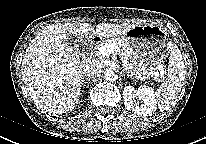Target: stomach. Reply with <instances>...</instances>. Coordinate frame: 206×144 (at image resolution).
Listing matches in <instances>:
<instances>
[{"label":"stomach","mask_w":206,"mask_h":144,"mask_svg":"<svg viewBox=\"0 0 206 144\" xmlns=\"http://www.w3.org/2000/svg\"><path fill=\"white\" fill-rule=\"evenodd\" d=\"M132 52V58L140 66L153 68L163 66L166 58L171 54L169 33L163 25L156 23L137 24L126 34L121 36Z\"/></svg>","instance_id":"1"}]
</instances>
